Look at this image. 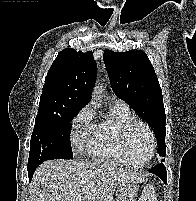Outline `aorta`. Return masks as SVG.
Returning a JSON list of instances; mask_svg holds the SVG:
<instances>
[{
    "label": "aorta",
    "instance_id": "762f6f07",
    "mask_svg": "<svg viewBox=\"0 0 196 201\" xmlns=\"http://www.w3.org/2000/svg\"><path fill=\"white\" fill-rule=\"evenodd\" d=\"M100 94V91H96V95Z\"/></svg>",
    "mask_w": 196,
    "mask_h": 201
}]
</instances>
